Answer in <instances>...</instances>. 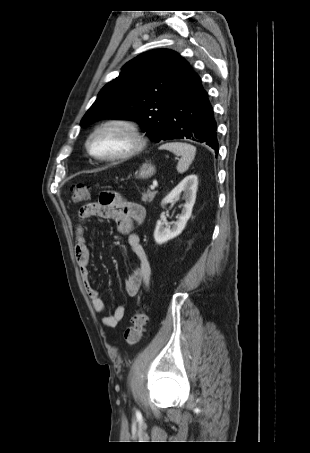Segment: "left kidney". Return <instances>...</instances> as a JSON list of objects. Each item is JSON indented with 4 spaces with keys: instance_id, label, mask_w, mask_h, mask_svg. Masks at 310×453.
<instances>
[{
    "instance_id": "left-kidney-1",
    "label": "left kidney",
    "mask_w": 310,
    "mask_h": 453,
    "mask_svg": "<svg viewBox=\"0 0 310 453\" xmlns=\"http://www.w3.org/2000/svg\"><path fill=\"white\" fill-rule=\"evenodd\" d=\"M198 186V178L196 175L191 174L186 176L163 200L162 205L174 202L182 192L185 198V204L183 205L182 212L176 222L173 223L172 227L166 225L161 220L156 223L154 231L155 242L159 245L177 237L184 230L187 221L191 217L192 209L196 200V192Z\"/></svg>"
}]
</instances>
